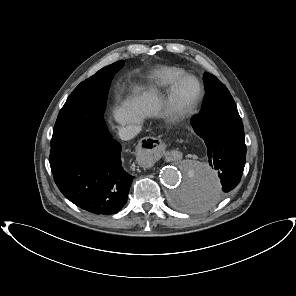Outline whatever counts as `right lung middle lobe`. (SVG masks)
<instances>
[{"label":"right lung middle lobe","instance_id":"obj_1","mask_svg":"<svg viewBox=\"0 0 296 296\" xmlns=\"http://www.w3.org/2000/svg\"><path fill=\"white\" fill-rule=\"evenodd\" d=\"M123 65L120 60L104 67L74 89L57 117L51 148L76 147L107 135L103 112L108 90L111 79Z\"/></svg>","mask_w":296,"mask_h":296}]
</instances>
